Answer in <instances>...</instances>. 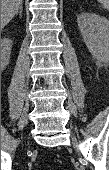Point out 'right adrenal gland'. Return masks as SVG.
Listing matches in <instances>:
<instances>
[{
    "label": "right adrenal gland",
    "mask_w": 109,
    "mask_h": 170,
    "mask_svg": "<svg viewBox=\"0 0 109 170\" xmlns=\"http://www.w3.org/2000/svg\"><path fill=\"white\" fill-rule=\"evenodd\" d=\"M22 10H23V7H22V5H21L20 8H19V11L17 12L20 17L22 16Z\"/></svg>",
    "instance_id": "obj_1"
}]
</instances>
